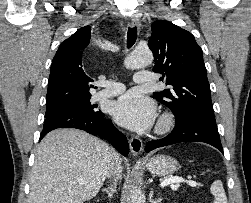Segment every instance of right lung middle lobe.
I'll list each match as a JSON object with an SVG mask.
<instances>
[{"label":"right lung middle lobe","mask_w":251,"mask_h":203,"mask_svg":"<svg viewBox=\"0 0 251 203\" xmlns=\"http://www.w3.org/2000/svg\"><path fill=\"white\" fill-rule=\"evenodd\" d=\"M89 99L90 98L62 106L46 108L45 118L66 112H81L91 114L96 117H104V114L101 111L95 109V105H91Z\"/></svg>","instance_id":"dd1d6c3e"}]
</instances>
